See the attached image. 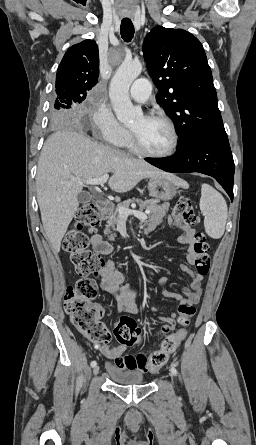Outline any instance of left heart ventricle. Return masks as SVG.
<instances>
[{
    "label": "left heart ventricle",
    "instance_id": "1",
    "mask_svg": "<svg viewBox=\"0 0 256 445\" xmlns=\"http://www.w3.org/2000/svg\"><path fill=\"white\" fill-rule=\"evenodd\" d=\"M141 144L149 151L162 153L171 145V132L166 124L157 120H147L144 117L137 119L131 126Z\"/></svg>",
    "mask_w": 256,
    "mask_h": 445
}]
</instances>
